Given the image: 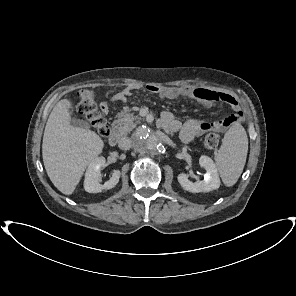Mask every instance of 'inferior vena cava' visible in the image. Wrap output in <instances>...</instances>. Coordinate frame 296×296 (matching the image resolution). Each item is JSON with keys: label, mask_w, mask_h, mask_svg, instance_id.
<instances>
[{"label": "inferior vena cava", "mask_w": 296, "mask_h": 296, "mask_svg": "<svg viewBox=\"0 0 296 296\" xmlns=\"http://www.w3.org/2000/svg\"><path fill=\"white\" fill-rule=\"evenodd\" d=\"M119 147L123 150H127L132 146V139L129 137H122L119 140Z\"/></svg>", "instance_id": "1"}]
</instances>
